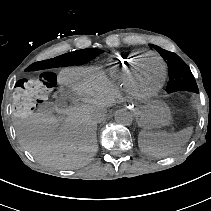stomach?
I'll return each instance as SVG.
<instances>
[{
	"label": "stomach",
	"instance_id": "obj_1",
	"mask_svg": "<svg viewBox=\"0 0 211 211\" xmlns=\"http://www.w3.org/2000/svg\"><path fill=\"white\" fill-rule=\"evenodd\" d=\"M139 124L144 129H158L170 122V109L162 101H155L139 110Z\"/></svg>",
	"mask_w": 211,
	"mask_h": 211
}]
</instances>
